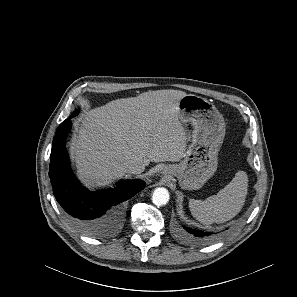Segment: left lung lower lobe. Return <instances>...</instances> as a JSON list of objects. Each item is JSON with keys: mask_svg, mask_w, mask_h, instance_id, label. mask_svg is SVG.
Segmentation results:
<instances>
[{"mask_svg": "<svg viewBox=\"0 0 297 297\" xmlns=\"http://www.w3.org/2000/svg\"><path fill=\"white\" fill-rule=\"evenodd\" d=\"M177 235L183 241L188 243H205L210 241L214 237L213 233L191 229L186 226L178 227Z\"/></svg>", "mask_w": 297, "mask_h": 297, "instance_id": "0a47b994", "label": "left lung lower lobe"}]
</instances>
